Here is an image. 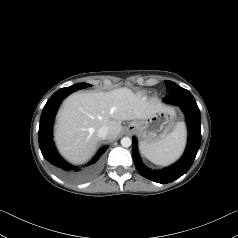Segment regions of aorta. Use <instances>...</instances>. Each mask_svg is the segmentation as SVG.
<instances>
[{
  "label": "aorta",
  "instance_id": "aorta-1",
  "mask_svg": "<svg viewBox=\"0 0 238 238\" xmlns=\"http://www.w3.org/2000/svg\"><path fill=\"white\" fill-rule=\"evenodd\" d=\"M131 144H132V140L129 138V137H123L122 139H121V145L123 146V147H130L131 146Z\"/></svg>",
  "mask_w": 238,
  "mask_h": 238
}]
</instances>
